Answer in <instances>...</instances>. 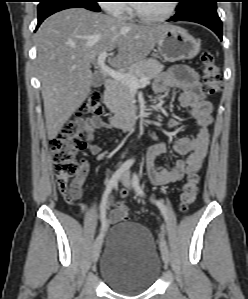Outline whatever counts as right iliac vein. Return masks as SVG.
Listing matches in <instances>:
<instances>
[{
	"label": "right iliac vein",
	"mask_w": 248,
	"mask_h": 299,
	"mask_svg": "<svg viewBox=\"0 0 248 299\" xmlns=\"http://www.w3.org/2000/svg\"><path fill=\"white\" fill-rule=\"evenodd\" d=\"M102 242H103V237H98V239L96 240L93 246L92 257L94 262H96L99 258L101 248H102Z\"/></svg>",
	"instance_id": "63e3f726"
}]
</instances>
